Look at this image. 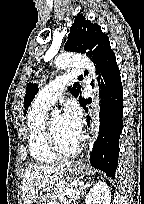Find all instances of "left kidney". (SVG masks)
I'll list each match as a JSON object with an SVG mask.
<instances>
[{"mask_svg": "<svg viewBox=\"0 0 144 204\" xmlns=\"http://www.w3.org/2000/svg\"><path fill=\"white\" fill-rule=\"evenodd\" d=\"M111 195L107 183L99 181L89 191L85 198L86 204H110Z\"/></svg>", "mask_w": 144, "mask_h": 204, "instance_id": "left-kidney-1", "label": "left kidney"}]
</instances>
